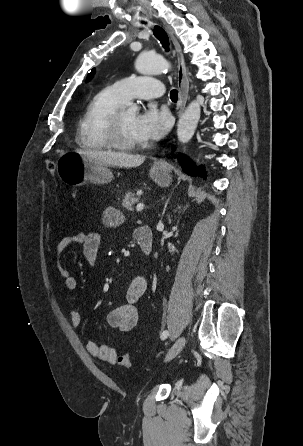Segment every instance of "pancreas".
<instances>
[{
  "instance_id": "1",
  "label": "pancreas",
  "mask_w": 303,
  "mask_h": 446,
  "mask_svg": "<svg viewBox=\"0 0 303 446\" xmlns=\"http://www.w3.org/2000/svg\"><path fill=\"white\" fill-rule=\"evenodd\" d=\"M139 201V198L135 196V193L128 192L123 196L122 205L127 210L133 211V206Z\"/></svg>"
}]
</instances>
